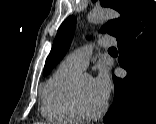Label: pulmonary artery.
<instances>
[{"mask_svg":"<svg viewBox=\"0 0 156 124\" xmlns=\"http://www.w3.org/2000/svg\"><path fill=\"white\" fill-rule=\"evenodd\" d=\"M99 45L105 48L115 45V40L109 36H103L99 39ZM93 53V45L86 44L71 52L64 60V62L80 71L84 70Z\"/></svg>","mask_w":156,"mask_h":124,"instance_id":"obj_1","label":"pulmonary artery"}]
</instances>
